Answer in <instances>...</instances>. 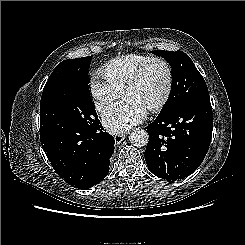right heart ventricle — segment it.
<instances>
[{
	"label": "right heart ventricle",
	"mask_w": 245,
	"mask_h": 245,
	"mask_svg": "<svg viewBox=\"0 0 245 245\" xmlns=\"http://www.w3.org/2000/svg\"><path fill=\"white\" fill-rule=\"evenodd\" d=\"M148 58L149 56L140 54L124 55L109 61L103 67V73L112 84L123 90L128 80Z\"/></svg>",
	"instance_id": "1"
}]
</instances>
